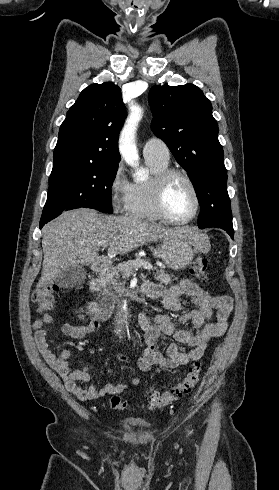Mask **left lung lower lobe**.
Here are the masks:
<instances>
[{
  "mask_svg": "<svg viewBox=\"0 0 279 490\" xmlns=\"http://www.w3.org/2000/svg\"><path fill=\"white\" fill-rule=\"evenodd\" d=\"M227 231V233L231 236V238L233 239V236H234V230H233V227L231 228H227L225 229Z\"/></svg>",
  "mask_w": 279,
  "mask_h": 490,
  "instance_id": "obj_1",
  "label": "left lung lower lobe"
}]
</instances>
